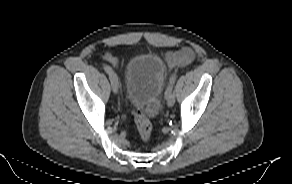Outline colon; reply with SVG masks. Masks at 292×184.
<instances>
[{
    "instance_id": "5ec220e1",
    "label": "colon",
    "mask_w": 292,
    "mask_h": 184,
    "mask_svg": "<svg viewBox=\"0 0 292 184\" xmlns=\"http://www.w3.org/2000/svg\"><path fill=\"white\" fill-rule=\"evenodd\" d=\"M103 57L109 61L113 58L107 52L103 53ZM134 120H135V124H136L137 131L139 133L140 138L143 141L149 140L152 134L153 126L150 120L147 118V116L141 109L137 108L134 110Z\"/></svg>"
}]
</instances>
